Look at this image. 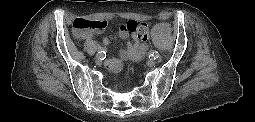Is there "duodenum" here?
<instances>
[{
  "instance_id": "obj_1",
  "label": "duodenum",
  "mask_w": 255,
  "mask_h": 122,
  "mask_svg": "<svg viewBox=\"0 0 255 122\" xmlns=\"http://www.w3.org/2000/svg\"><path fill=\"white\" fill-rule=\"evenodd\" d=\"M81 39H83V40H91V38H85V39H84V38H81Z\"/></svg>"
}]
</instances>
